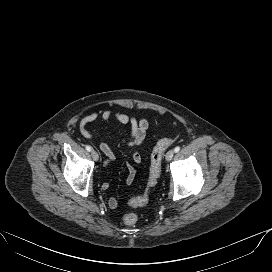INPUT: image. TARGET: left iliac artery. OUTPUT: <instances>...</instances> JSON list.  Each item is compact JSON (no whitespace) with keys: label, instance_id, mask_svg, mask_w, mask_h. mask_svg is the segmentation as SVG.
Returning <instances> with one entry per match:
<instances>
[{"label":"left iliac artery","instance_id":"left-iliac-artery-1","mask_svg":"<svg viewBox=\"0 0 272 272\" xmlns=\"http://www.w3.org/2000/svg\"><path fill=\"white\" fill-rule=\"evenodd\" d=\"M179 151H180V147H179V146H177V147L174 148V152L177 153V152H179Z\"/></svg>","mask_w":272,"mask_h":272}]
</instances>
